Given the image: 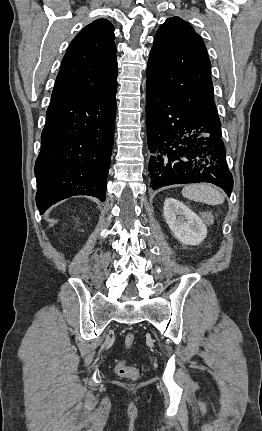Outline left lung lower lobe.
Wrapping results in <instances>:
<instances>
[{
  "mask_svg": "<svg viewBox=\"0 0 262 431\" xmlns=\"http://www.w3.org/2000/svg\"><path fill=\"white\" fill-rule=\"evenodd\" d=\"M146 127L152 189L208 182L231 194L233 177L221 124L202 122L189 108L147 83Z\"/></svg>",
  "mask_w": 262,
  "mask_h": 431,
  "instance_id": "0a47b994",
  "label": "left lung lower lobe"
}]
</instances>
